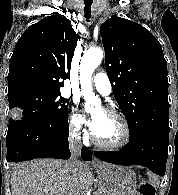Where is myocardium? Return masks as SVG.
<instances>
[{
    "label": "myocardium",
    "mask_w": 178,
    "mask_h": 195,
    "mask_svg": "<svg viewBox=\"0 0 178 195\" xmlns=\"http://www.w3.org/2000/svg\"><path fill=\"white\" fill-rule=\"evenodd\" d=\"M104 112L115 117L121 124L123 131H124V136L123 138L117 142V143H113V144H109V143H104L102 141H100L97 136L95 135V133L93 132L92 134V140L93 142L101 148L107 149V150H118L121 149L123 147H125L131 139V129L130 126L127 122V120L125 119V117L120 114L118 111H116L113 108H106L104 109Z\"/></svg>",
    "instance_id": "obj_1"
}]
</instances>
